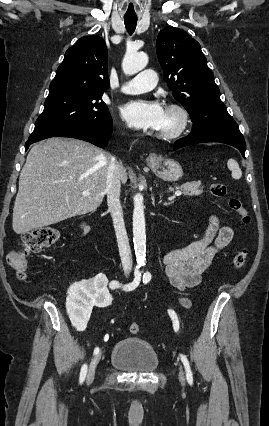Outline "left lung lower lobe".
Returning a JSON list of instances; mask_svg holds the SVG:
<instances>
[{
	"label": "left lung lower lobe",
	"mask_w": 269,
	"mask_h": 426,
	"mask_svg": "<svg viewBox=\"0 0 269 426\" xmlns=\"http://www.w3.org/2000/svg\"><path fill=\"white\" fill-rule=\"evenodd\" d=\"M203 116L201 119L192 121L193 126L190 134L177 140L173 149L177 150L197 143L220 142L236 147L245 158L246 144L244 137L227 109L207 111Z\"/></svg>",
	"instance_id": "0a47b994"
}]
</instances>
